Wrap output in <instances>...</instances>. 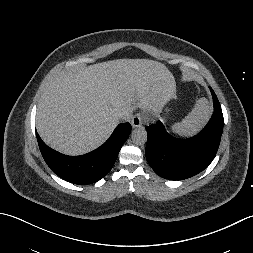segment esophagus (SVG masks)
<instances>
[{
	"mask_svg": "<svg viewBox=\"0 0 253 253\" xmlns=\"http://www.w3.org/2000/svg\"><path fill=\"white\" fill-rule=\"evenodd\" d=\"M131 125L133 128H137L142 125V117L140 114H136L133 116V118L131 120Z\"/></svg>",
	"mask_w": 253,
	"mask_h": 253,
	"instance_id": "1",
	"label": "esophagus"
}]
</instances>
